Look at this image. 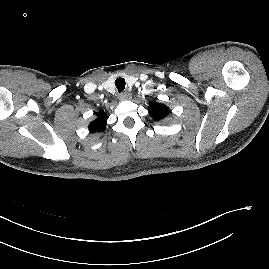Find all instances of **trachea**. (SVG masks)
<instances>
[{
    "label": "trachea",
    "mask_w": 269,
    "mask_h": 269,
    "mask_svg": "<svg viewBox=\"0 0 269 269\" xmlns=\"http://www.w3.org/2000/svg\"><path fill=\"white\" fill-rule=\"evenodd\" d=\"M115 85H116L118 92L120 93V92L124 91L126 82H125L124 78H117L115 80Z\"/></svg>",
    "instance_id": "obj_1"
}]
</instances>
